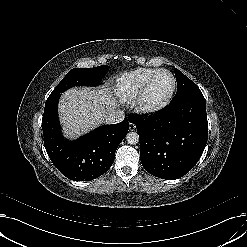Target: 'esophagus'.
Masks as SVG:
<instances>
[{"mask_svg":"<svg viewBox=\"0 0 247 247\" xmlns=\"http://www.w3.org/2000/svg\"><path fill=\"white\" fill-rule=\"evenodd\" d=\"M135 129H136L135 124L130 123V124H129V130H130V131H134Z\"/></svg>","mask_w":247,"mask_h":247,"instance_id":"obj_1","label":"esophagus"}]
</instances>
